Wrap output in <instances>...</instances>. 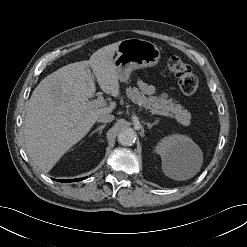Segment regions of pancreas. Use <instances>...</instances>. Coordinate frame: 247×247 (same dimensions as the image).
Returning <instances> with one entry per match:
<instances>
[{
	"label": "pancreas",
	"instance_id": "pancreas-1",
	"mask_svg": "<svg viewBox=\"0 0 247 247\" xmlns=\"http://www.w3.org/2000/svg\"><path fill=\"white\" fill-rule=\"evenodd\" d=\"M127 97L135 104H138L150 112L156 110L164 111L171 117L175 118L183 126L190 124L191 114L184 109L180 104H176L171 99H168L166 93L160 96L146 97L143 91H140L136 87H128L126 89Z\"/></svg>",
	"mask_w": 247,
	"mask_h": 247
}]
</instances>
